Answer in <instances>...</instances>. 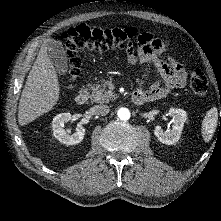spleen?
Masks as SVG:
<instances>
[{
	"mask_svg": "<svg viewBox=\"0 0 221 221\" xmlns=\"http://www.w3.org/2000/svg\"><path fill=\"white\" fill-rule=\"evenodd\" d=\"M218 123V110L216 107L211 108L203 122H202V135L206 142L210 141Z\"/></svg>",
	"mask_w": 221,
	"mask_h": 221,
	"instance_id": "spleen-1",
	"label": "spleen"
}]
</instances>
